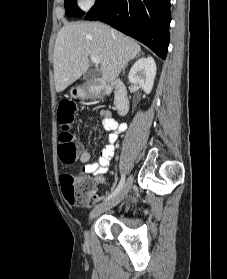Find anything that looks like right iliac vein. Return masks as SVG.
<instances>
[{"label": "right iliac vein", "instance_id": "1", "mask_svg": "<svg viewBox=\"0 0 227 279\" xmlns=\"http://www.w3.org/2000/svg\"><path fill=\"white\" fill-rule=\"evenodd\" d=\"M133 185V177L129 176V178L127 179V181L125 182L124 186L122 187V189L120 190V192L111 200L102 203L98 206H96L90 213L89 215V223L95 218L97 217L99 214H101L104 211H107L109 209H111L112 207H115L116 205H118L125 197L126 195L129 193V191L131 190ZM85 239L88 240L89 239V232L85 231Z\"/></svg>", "mask_w": 227, "mask_h": 279}]
</instances>
